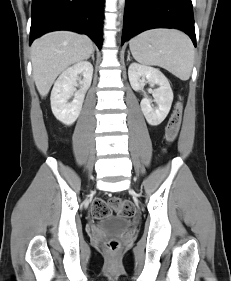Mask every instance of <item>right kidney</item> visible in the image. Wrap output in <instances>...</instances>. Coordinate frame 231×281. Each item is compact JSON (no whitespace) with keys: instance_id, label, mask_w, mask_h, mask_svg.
Instances as JSON below:
<instances>
[{"instance_id":"right-kidney-1","label":"right kidney","mask_w":231,"mask_h":281,"mask_svg":"<svg viewBox=\"0 0 231 281\" xmlns=\"http://www.w3.org/2000/svg\"><path fill=\"white\" fill-rule=\"evenodd\" d=\"M83 76V79L79 77ZM93 76V66L87 61H80L67 68L58 77L51 91V109L54 116L65 125H72L82 109L85 94ZM80 86L79 90L76 87ZM74 95L71 102L68 100Z\"/></svg>"}]
</instances>
